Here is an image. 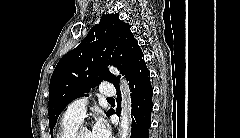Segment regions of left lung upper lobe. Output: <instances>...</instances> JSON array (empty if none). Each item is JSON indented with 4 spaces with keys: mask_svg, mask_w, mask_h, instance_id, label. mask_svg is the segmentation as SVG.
I'll return each mask as SVG.
<instances>
[{
    "mask_svg": "<svg viewBox=\"0 0 240 138\" xmlns=\"http://www.w3.org/2000/svg\"><path fill=\"white\" fill-rule=\"evenodd\" d=\"M139 52L141 48L130 25L121 21L117 14L103 15L82 42L58 62L51 76L50 131L65 107L76 98L88 96L85 93L90 88L103 80L114 83L115 87L119 85V79L108 71L106 64L115 65L126 75Z\"/></svg>",
    "mask_w": 240,
    "mask_h": 138,
    "instance_id": "5c2ea615",
    "label": "left lung upper lobe"
}]
</instances>
